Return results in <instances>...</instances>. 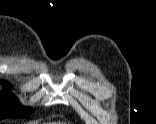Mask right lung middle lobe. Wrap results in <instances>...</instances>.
<instances>
[{
  "instance_id": "obj_1",
  "label": "right lung middle lobe",
  "mask_w": 156,
  "mask_h": 124,
  "mask_svg": "<svg viewBox=\"0 0 156 124\" xmlns=\"http://www.w3.org/2000/svg\"><path fill=\"white\" fill-rule=\"evenodd\" d=\"M2 84H7L0 81ZM32 112V108L21 106L18 99L8 93L0 92V118L15 117L23 118Z\"/></svg>"
}]
</instances>
